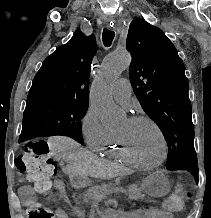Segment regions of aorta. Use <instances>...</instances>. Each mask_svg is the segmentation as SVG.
<instances>
[{"label": "aorta", "mask_w": 211, "mask_h": 218, "mask_svg": "<svg viewBox=\"0 0 211 218\" xmlns=\"http://www.w3.org/2000/svg\"><path fill=\"white\" fill-rule=\"evenodd\" d=\"M130 62L131 56L126 51L107 56L91 87V106L103 126L109 131L121 130L125 122L124 114L113 101L111 85L129 67Z\"/></svg>", "instance_id": "obj_1"}]
</instances>
